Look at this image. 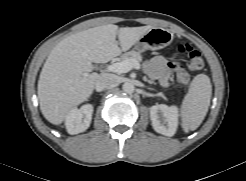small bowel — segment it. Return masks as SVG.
Listing matches in <instances>:
<instances>
[{"instance_id": "1", "label": "small bowel", "mask_w": 246, "mask_h": 181, "mask_svg": "<svg viewBox=\"0 0 246 181\" xmlns=\"http://www.w3.org/2000/svg\"><path fill=\"white\" fill-rule=\"evenodd\" d=\"M176 68L175 64L168 63L163 56H155L147 62V71L160 81L163 86L168 84L172 71Z\"/></svg>"}]
</instances>
